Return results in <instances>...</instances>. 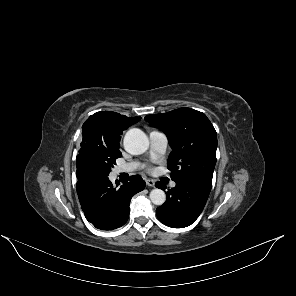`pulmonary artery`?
Here are the masks:
<instances>
[{
    "label": "pulmonary artery",
    "instance_id": "obj_1",
    "mask_svg": "<svg viewBox=\"0 0 296 296\" xmlns=\"http://www.w3.org/2000/svg\"><path fill=\"white\" fill-rule=\"evenodd\" d=\"M149 139H150V154L153 159H159L161 158L166 151L167 148V137L164 133L160 131H151L149 133ZM140 167V163L137 161H131L128 163L121 164L117 166L116 170L117 172H132L137 170ZM171 187H175L176 183L171 182Z\"/></svg>",
    "mask_w": 296,
    "mask_h": 296
}]
</instances>
